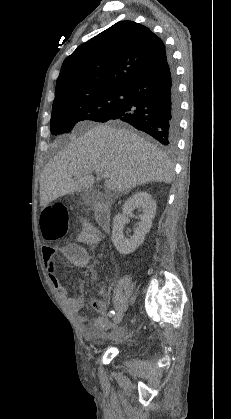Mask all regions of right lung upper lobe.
<instances>
[{"label":"right lung upper lobe","mask_w":231,"mask_h":419,"mask_svg":"<svg viewBox=\"0 0 231 419\" xmlns=\"http://www.w3.org/2000/svg\"><path fill=\"white\" fill-rule=\"evenodd\" d=\"M167 58L164 43L150 29L120 21L64 60L53 103L101 89L125 90Z\"/></svg>","instance_id":"right-lung-upper-lobe-1"}]
</instances>
